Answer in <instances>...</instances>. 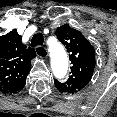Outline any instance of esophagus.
<instances>
[{
	"label": "esophagus",
	"mask_w": 117,
	"mask_h": 117,
	"mask_svg": "<svg viewBox=\"0 0 117 117\" xmlns=\"http://www.w3.org/2000/svg\"><path fill=\"white\" fill-rule=\"evenodd\" d=\"M41 47V49L39 51H37V48ZM36 48V54L38 57L42 58V59H45L48 57V52H47V49L43 46H38Z\"/></svg>",
	"instance_id": "esophagus-1"
}]
</instances>
